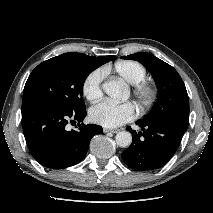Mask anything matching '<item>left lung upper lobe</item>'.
<instances>
[{"label": "left lung upper lobe", "mask_w": 213, "mask_h": 213, "mask_svg": "<svg viewBox=\"0 0 213 213\" xmlns=\"http://www.w3.org/2000/svg\"><path fill=\"white\" fill-rule=\"evenodd\" d=\"M121 58L136 60L143 64L151 72L159 91L154 107L141 121L174 120L188 126V94L177 71L166 62L149 53L140 52Z\"/></svg>", "instance_id": "obj_1"}]
</instances>
